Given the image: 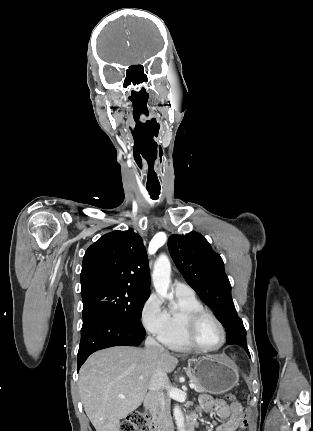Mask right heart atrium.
Returning <instances> with one entry per match:
<instances>
[{
  "label": "right heart atrium",
  "mask_w": 313,
  "mask_h": 431,
  "mask_svg": "<svg viewBox=\"0 0 313 431\" xmlns=\"http://www.w3.org/2000/svg\"><path fill=\"white\" fill-rule=\"evenodd\" d=\"M141 322L149 333L157 336L160 340L166 333L168 326L167 310L158 295L152 294L145 301L141 310Z\"/></svg>",
  "instance_id": "obj_1"
}]
</instances>
